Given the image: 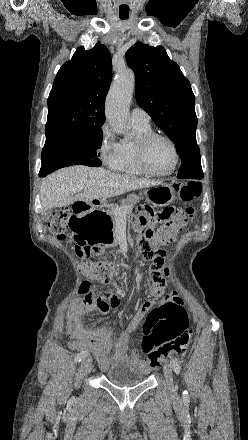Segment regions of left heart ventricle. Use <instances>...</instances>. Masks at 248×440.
Instances as JSON below:
<instances>
[{
	"label": "left heart ventricle",
	"mask_w": 248,
	"mask_h": 440,
	"mask_svg": "<svg viewBox=\"0 0 248 440\" xmlns=\"http://www.w3.org/2000/svg\"><path fill=\"white\" fill-rule=\"evenodd\" d=\"M174 153L171 145L165 140H155L148 151V164L156 172L169 171L174 164Z\"/></svg>",
	"instance_id": "left-heart-ventricle-1"
}]
</instances>
